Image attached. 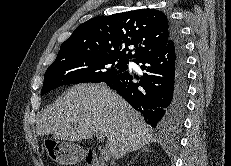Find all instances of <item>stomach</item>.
I'll return each mask as SVG.
<instances>
[{"label":"stomach","instance_id":"stomach-1","mask_svg":"<svg viewBox=\"0 0 231 166\" xmlns=\"http://www.w3.org/2000/svg\"><path fill=\"white\" fill-rule=\"evenodd\" d=\"M50 158L63 165H75L84 159V150L76 143L64 140H50L46 146Z\"/></svg>","mask_w":231,"mask_h":166}]
</instances>
